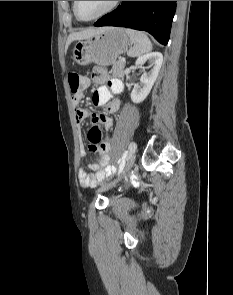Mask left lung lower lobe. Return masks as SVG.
Returning a JSON list of instances; mask_svg holds the SVG:
<instances>
[{"mask_svg": "<svg viewBox=\"0 0 233 295\" xmlns=\"http://www.w3.org/2000/svg\"><path fill=\"white\" fill-rule=\"evenodd\" d=\"M176 11V1H122L111 13L94 26H119L147 31L166 45Z\"/></svg>", "mask_w": 233, "mask_h": 295, "instance_id": "left-lung-lower-lobe-1", "label": "left lung lower lobe"}]
</instances>
